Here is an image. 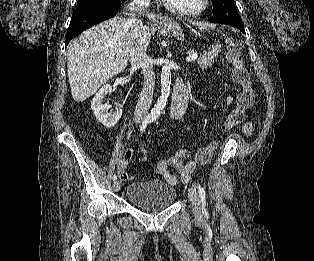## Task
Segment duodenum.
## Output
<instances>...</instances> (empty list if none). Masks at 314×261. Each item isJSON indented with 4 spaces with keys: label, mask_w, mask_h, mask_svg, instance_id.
Here are the masks:
<instances>
[{
    "label": "duodenum",
    "mask_w": 314,
    "mask_h": 261,
    "mask_svg": "<svg viewBox=\"0 0 314 261\" xmlns=\"http://www.w3.org/2000/svg\"><path fill=\"white\" fill-rule=\"evenodd\" d=\"M188 103V92L183 84V81L179 79L174 87L170 102V112L171 114L177 112H184Z\"/></svg>",
    "instance_id": "duodenum-1"
}]
</instances>
